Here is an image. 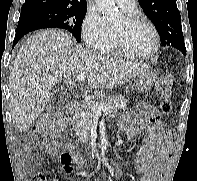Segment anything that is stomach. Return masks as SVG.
<instances>
[{"instance_id": "0dacf381", "label": "stomach", "mask_w": 197, "mask_h": 181, "mask_svg": "<svg viewBox=\"0 0 197 181\" xmlns=\"http://www.w3.org/2000/svg\"><path fill=\"white\" fill-rule=\"evenodd\" d=\"M155 79L156 74L152 69H143L134 79L135 90L139 93L149 90L153 86Z\"/></svg>"}]
</instances>
